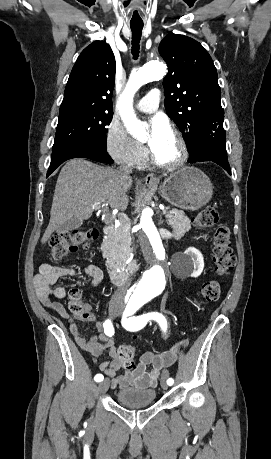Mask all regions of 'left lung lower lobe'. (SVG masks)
Segmentation results:
<instances>
[{
	"mask_svg": "<svg viewBox=\"0 0 271 459\" xmlns=\"http://www.w3.org/2000/svg\"><path fill=\"white\" fill-rule=\"evenodd\" d=\"M199 139L201 149L195 157L190 158V163L213 161L231 175V168L227 159L226 133L223 128V121L206 129Z\"/></svg>",
	"mask_w": 271,
	"mask_h": 459,
	"instance_id": "1",
	"label": "left lung lower lobe"
}]
</instances>
